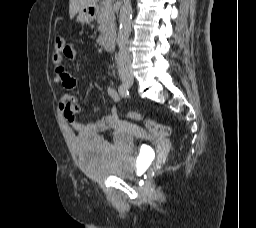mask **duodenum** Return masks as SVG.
<instances>
[{"mask_svg":"<svg viewBox=\"0 0 256 228\" xmlns=\"http://www.w3.org/2000/svg\"><path fill=\"white\" fill-rule=\"evenodd\" d=\"M90 15L94 16L96 14V7L92 6L89 8ZM100 44L102 47L107 51H112L115 45V36L113 33H105L103 34L100 39Z\"/></svg>","mask_w":256,"mask_h":228,"instance_id":"obj_1","label":"duodenum"}]
</instances>
